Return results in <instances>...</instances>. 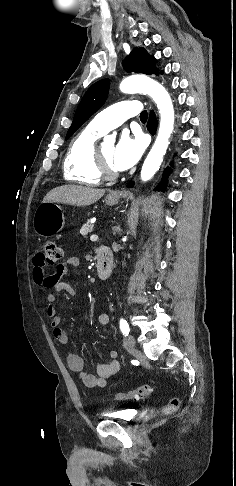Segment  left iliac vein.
<instances>
[{"mask_svg": "<svg viewBox=\"0 0 236 486\" xmlns=\"http://www.w3.org/2000/svg\"><path fill=\"white\" fill-rule=\"evenodd\" d=\"M136 344V340L134 336L129 335L128 337L124 338L123 345L127 350H133Z\"/></svg>", "mask_w": 236, "mask_h": 486, "instance_id": "4c4485c4", "label": "left iliac vein"}]
</instances>
